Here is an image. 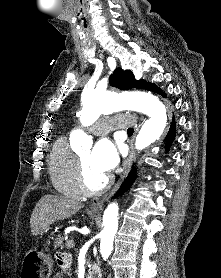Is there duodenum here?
I'll use <instances>...</instances> for the list:
<instances>
[{"mask_svg":"<svg viewBox=\"0 0 221 278\" xmlns=\"http://www.w3.org/2000/svg\"><path fill=\"white\" fill-rule=\"evenodd\" d=\"M87 278H101V275L97 270L92 269L88 274Z\"/></svg>","mask_w":221,"mask_h":278,"instance_id":"obj_1","label":"duodenum"}]
</instances>
